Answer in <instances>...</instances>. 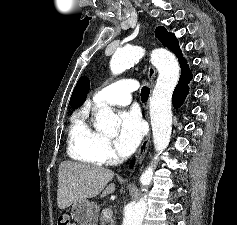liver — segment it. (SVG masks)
I'll return each mask as SVG.
<instances>
[{"instance_id": "1", "label": "liver", "mask_w": 237, "mask_h": 225, "mask_svg": "<svg viewBox=\"0 0 237 225\" xmlns=\"http://www.w3.org/2000/svg\"><path fill=\"white\" fill-rule=\"evenodd\" d=\"M114 173L95 165L64 161L59 165L57 205L68 208L74 202L94 198L102 192V197L115 191V184L107 183Z\"/></svg>"}]
</instances>
